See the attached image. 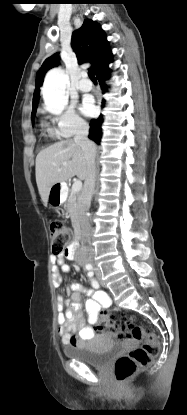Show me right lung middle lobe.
Wrapping results in <instances>:
<instances>
[{
    "label": "right lung middle lobe",
    "instance_id": "dd1d6c3e",
    "mask_svg": "<svg viewBox=\"0 0 187 415\" xmlns=\"http://www.w3.org/2000/svg\"><path fill=\"white\" fill-rule=\"evenodd\" d=\"M36 110L32 111V118L35 117Z\"/></svg>",
    "mask_w": 187,
    "mask_h": 415
}]
</instances>
